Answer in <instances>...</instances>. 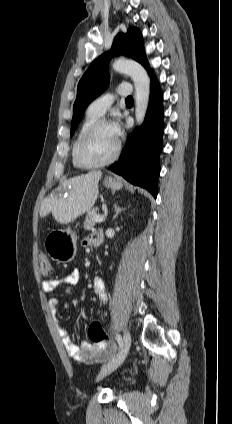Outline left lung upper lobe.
<instances>
[{
  "label": "left lung upper lobe",
  "mask_w": 232,
  "mask_h": 424,
  "mask_svg": "<svg viewBox=\"0 0 232 424\" xmlns=\"http://www.w3.org/2000/svg\"><path fill=\"white\" fill-rule=\"evenodd\" d=\"M118 54H129L148 72L150 71L140 30L133 27L128 30L127 34H118L114 39L111 51L93 61L78 83L77 97L73 106L71 135L74 134L88 104L106 89L109 82L108 64L111 57Z\"/></svg>",
  "instance_id": "obj_1"
}]
</instances>
